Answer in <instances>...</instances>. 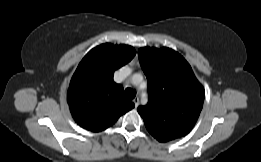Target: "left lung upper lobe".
Here are the masks:
<instances>
[{
  "instance_id": "left-lung-upper-lobe-1",
  "label": "left lung upper lobe",
  "mask_w": 261,
  "mask_h": 162,
  "mask_svg": "<svg viewBox=\"0 0 261 162\" xmlns=\"http://www.w3.org/2000/svg\"><path fill=\"white\" fill-rule=\"evenodd\" d=\"M138 57L148 79L149 102L139 106L149 133L160 142L188 134L204 101V88L191 66L170 48H140Z\"/></svg>"
}]
</instances>
